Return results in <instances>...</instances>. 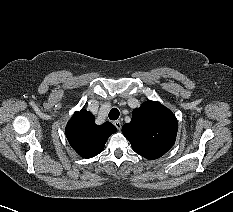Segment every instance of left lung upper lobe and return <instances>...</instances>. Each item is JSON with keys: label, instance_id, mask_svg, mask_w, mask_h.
I'll return each instance as SVG.
<instances>
[{"label": "left lung upper lobe", "instance_id": "1", "mask_svg": "<svg viewBox=\"0 0 233 212\" xmlns=\"http://www.w3.org/2000/svg\"><path fill=\"white\" fill-rule=\"evenodd\" d=\"M177 130L175 115L157 101H146L134 109L131 122L122 127V133L133 150L149 160L157 159L170 150Z\"/></svg>", "mask_w": 233, "mask_h": 212}]
</instances>
